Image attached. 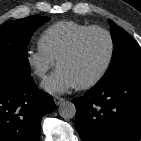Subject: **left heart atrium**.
I'll list each match as a JSON object with an SVG mask.
<instances>
[{
  "instance_id": "1",
  "label": "left heart atrium",
  "mask_w": 141,
  "mask_h": 141,
  "mask_svg": "<svg viewBox=\"0 0 141 141\" xmlns=\"http://www.w3.org/2000/svg\"><path fill=\"white\" fill-rule=\"evenodd\" d=\"M77 86L74 78L64 69L58 68L56 72L46 78L41 87L50 94H64Z\"/></svg>"
}]
</instances>
